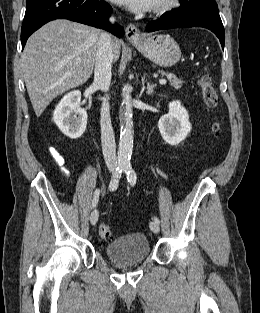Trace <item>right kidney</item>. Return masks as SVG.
<instances>
[{"label":"right kidney","instance_id":"right-kidney-1","mask_svg":"<svg viewBox=\"0 0 260 313\" xmlns=\"http://www.w3.org/2000/svg\"><path fill=\"white\" fill-rule=\"evenodd\" d=\"M81 92L72 91L66 94L53 113V120L64 135L77 139L85 132L87 112L81 108Z\"/></svg>","mask_w":260,"mask_h":313}]
</instances>
